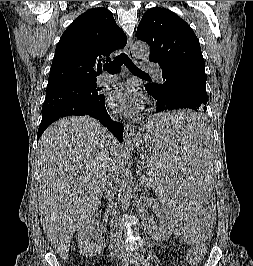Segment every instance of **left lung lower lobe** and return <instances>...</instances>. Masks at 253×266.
I'll use <instances>...</instances> for the list:
<instances>
[{"mask_svg":"<svg viewBox=\"0 0 253 266\" xmlns=\"http://www.w3.org/2000/svg\"><path fill=\"white\" fill-rule=\"evenodd\" d=\"M163 84L148 83L145 88L156 100V113L176 109H192L198 116L183 125L154 127L157 133H185L198 135L206 130L207 78L193 70L174 69L162 72Z\"/></svg>","mask_w":253,"mask_h":266,"instance_id":"obj_1","label":"left lung lower lobe"}]
</instances>
